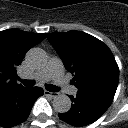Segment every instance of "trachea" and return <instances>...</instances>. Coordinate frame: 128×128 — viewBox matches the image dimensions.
Returning <instances> with one entry per match:
<instances>
[{"label":"trachea","instance_id":"1","mask_svg":"<svg viewBox=\"0 0 128 128\" xmlns=\"http://www.w3.org/2000/svg\"><path fill=\"white\" fill-rule=\"evenodd\" d=\"M24 86L26 87H33L35 82L33 80H20ZM46 89L50 92H57L59 91V88L52 84L45 85Z\"/></svg>","mask_w":128,"mask_h":128}]
</instances>
